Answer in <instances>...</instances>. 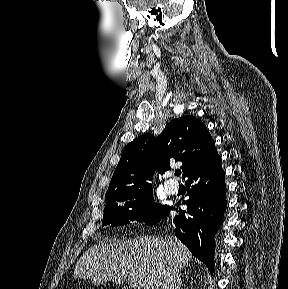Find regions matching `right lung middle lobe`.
<instances>
[{
	"label": "right lung middle lobe",
	"mask_w": 288,
	"mask_h": 289,
	"mask_svg": "<svg viewBox=\"0 0 288 289\" xmlns=\"http://www.w3.org/2000/svg\"><path fill=\"white\" fill-rule=\"evenodd\" d=\"M105 201L102 226L126 225L134 220L152 225L162 219L169 207L153 202L152 187L109 192L105 195ZM121 202L125 203L119 205Z\"/></svg>",
	"instance_id": "dd1d6c3e"
}]
</instances>
